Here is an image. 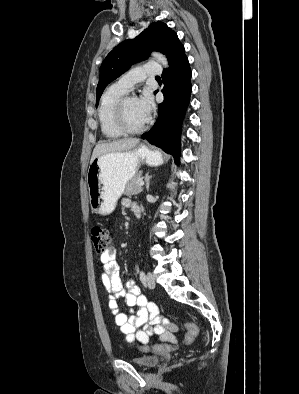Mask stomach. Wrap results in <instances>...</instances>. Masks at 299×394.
I'll return each instance as SVG.
<instances>
[{
  "instance_id": "0dacf381",
  "label": "stomach",
  "mask_w": 299,
  "mask_h": 394,
  "mask_svg": "<svg viewBox=\"0 0 299 394\" xmlns=\"http://www.w3.org/2000/svg\"><path fill=\"white\" fill-rule=\"evenodd\" d=\"M141 163L157 166L161 154L145 145L125 152H112L95 158L89 165L87 185L92 212L110 214L116 207L126 185L137 174Z\"/></svg>"
}]
</instances>
